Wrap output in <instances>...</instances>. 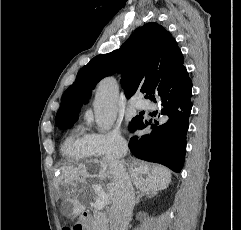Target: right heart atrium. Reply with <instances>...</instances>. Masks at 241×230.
<instances>
[{
    "instance_id": "d8ad5b80",
    "label": "right heart atrium",
    "mask_w": 241,
    "mask_h": 230,
    "mask_svg": "<svg viewBox=\"0 0 241 230\" xmlns=\"http://www.w3.org/2000/svg\"><path fill=\"white\" fill-rule=\"evenodd\" d=\"M88 141L97 156H120L127 149V141L119 130L90 133Z\"/></svg>"
}]
</instances>
